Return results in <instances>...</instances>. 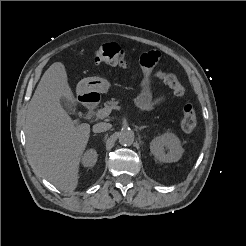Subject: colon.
Here are the masks:
<instances>
[{"mask_svg":"<svg viewBox=\"0 0 246 246\" xmlns=\"http://www.w3.org/2000/svg\"><path fill=\"white\" fill-rule=\"evenodd\" d=\"M94 60L98 63H105L115 66H128L129 60L125 51L115 43H107L100 46L94 54ZM158 76L167 84L176 96H183L185 89L177 77L170 72L161 71ZM197 125V116L193 105L186 104L183 108L180 126L183 131L191 132Z\"/></svg>","mask_w":246,"mask_h":246,"instance_id":"obj_1","label":"colon"}]
</instances>
